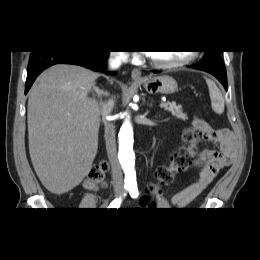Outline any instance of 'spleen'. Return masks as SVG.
Listing matches in <instances>:
<instances>
[{
	"mask_svg": "<svg viewBox=\"0 0 260 260\" xmlns=\"http://www.w3.org/2000/svg\"><path fill=\"white\" fill-rule=\"evenodd\" d=\"M206 83L209 89L211 107L215 113L220 115L224 112V98L222 93L211 79L206 78Z\"/></svg>",
	"mask_w": 260,
	"mask_h": 260,
	"instance_id": "1",
	"label": "spleen"
}]
</instances>
